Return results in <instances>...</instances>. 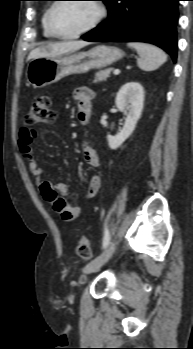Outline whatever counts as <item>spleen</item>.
<instances>
[{"mask_svg": "<svg viewBox=\"0 0 193 349\" xmlns=\"http://www.w3.org/2000/svg\"><path fill=\"white\" fill-rule=\"evenodd\" d=\"M128 46L136 49L139 54L137 64L144 71H153L167 61V55L160 48L139 42H130Z\"/></svg>", "mask_w": 193, "mask_h": 349, "instance_id": "obj_1", "label": "spleen"}]
</instances>
